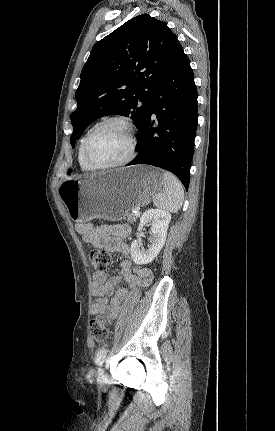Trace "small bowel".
<instances>
[{
  "label": "small bowel",
  "mask_w": 275,
  "mask_h": 431,
  "mask_svg": "<svg viewBox=\"0 0 275 431\" xmlns=\"http://www.w3.org/2000/svg\"><path fill=\"white\" fill-rule=\"evenodd\" d=\"M76 231L86 243L97 249L108 252H119L123 255L118 275L108 277L105 272H96L92 283L95 295L91 304V312L108 322H112L121 312L124 303L130 297L127 289H116L119 282L124 279L130 288L147 284L151 273L147 269L134 267L129 260L130 247L126 242L131 232L128 224H99L77 223Z\"/></svg>",
  "instance_id": "c3829d8e"
}]
</instances>
